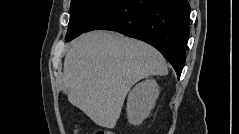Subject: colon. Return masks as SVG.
Listing matches in <instances>:
<instances>
[{
    "instance_id": "1",
    "label": "colon",
    "mask_w": 239,
    "mask_h": 134,
    "mask_svg": "<svg viewBox=\"0 0 239 134\" xmlns=\"http://www.w3.org/2000/svg\"><path fill=\"white\" fill-rule=\"evenodd\" d=\"M96 134H112V133L109 131L101 130V131H98Z\"/></svg>"
}]
</instances>
